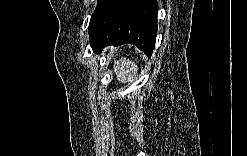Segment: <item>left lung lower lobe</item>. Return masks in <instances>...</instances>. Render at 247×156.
<instances>
[{
	"label": "left lung lower lobe",
	"mask_w": 247,
	"mask_h": 156,
	"mask_svg": "<svg viewBox=\"0 0 247 156\" xmlns=\"http://www.w3.org/2000/svg\"><path fill=\"white\" fill-rule=\"evenodd\" d=\"M157 12L156 0H103L89 24L93 51L130 43L150 57L157 36Z\"/></svg>",
	"instance_id": "left-lung-lower-lobe-1"
}]
</instances>
